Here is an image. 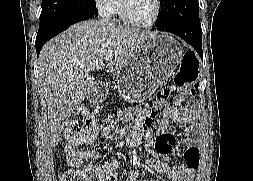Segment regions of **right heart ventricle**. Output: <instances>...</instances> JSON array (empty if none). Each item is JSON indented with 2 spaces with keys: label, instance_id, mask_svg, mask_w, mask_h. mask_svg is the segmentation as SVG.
I'll return each instance as SVG.
<instances>
[{
  "label": "right heart ventricle",
  "instance_id": "obj_1",
  "mask_svg": "<svg viewBox=\"0 0 253 181\" xmlns=\"http://www.w3.org/2000/svg\"><path fill=\"white\" fill-rule=\"evenodd\" d=\"M119 12H120V2H119V6H118L116 13H119Z\"/></svg>",
  "mask_w": 253,
  "mask_h": 181
}]
</instances>
